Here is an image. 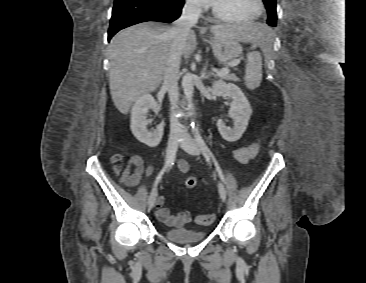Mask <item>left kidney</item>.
Masks as SVG:
<instances>
[{
  "instance_id": "left-kidney-1",
  "label": "left kidney",
  "mask_w": 366,
  "mask_h": 283,
  "mask_svg": "<svg viewBox=\"0 0 366 283\" xmlns=\"http://www.w3.org/2000/svg\"><path fill=\"white\" fill-rule=\"evenodd\" d=\"M211 91L214 97L222 96L232 99L229 116L234 120V127H227L220 119L217 121V128L224 140L229 142L237 141L245 132L252 114L249 101L238 86L222 80L214 81Z\"/></svg>"
}]
</instances>
